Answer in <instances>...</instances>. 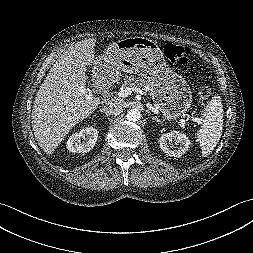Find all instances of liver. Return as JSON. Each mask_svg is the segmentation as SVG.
Wrapping results in <instances>:
<instances>
[{
    "mask_svg": "<svg viewBox=\"0 0 253 253\" xmlns=\"http://www.w3.org/2000/svg\"><path fill=\"white\" fill-rule=\"evenodd\" d=\"M95 39L72 44L57 59L41 84L32 108V129L41 149L52 154L68 132L99 106L100 98L87 99L86 65L99 63ZM94 77L96 76L93 69ZM83 90V91H82Z\"/></svg>",
    "mask_w": 253,
    "mask_h": 253,
    "instance_id": "6515ba94",
    "label": "liver"
}]
</instances>
